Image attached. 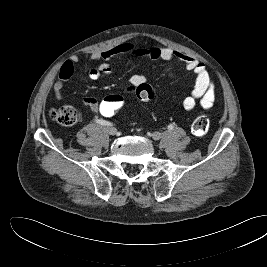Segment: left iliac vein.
Listing matches in <instances>:
<instances>
[{"label":"left iliac vein","mask_w":267,"mask_h":267,"mask_svg":"<svg viewBox=\"0 0 267 267\" xmlns=\"http://www.w3.org/2000/svg\"><path fill=\"white\" fill-rule=\"evenodd\" d=\"M152 139L154 140H160L162 138V134L160 132H153L151 134Z\"/></svg>","instance_id":"4c4485c4"}]
</instances>
